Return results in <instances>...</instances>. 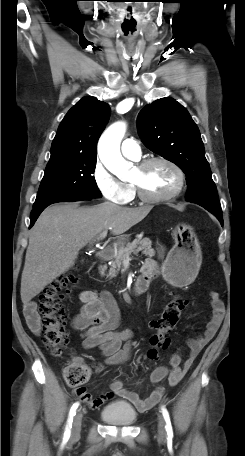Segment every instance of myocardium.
Masks as SVG:
<instances>
[{
	"mask_svg": "<svg viewBox=\"0 0 245 456\" xmlns=\"http://www.w3.org/2000/svg\"><path fill=\"white\" fill-rule=\"evenodd\" d=\"M155 163H164V164L170 166L175 171V173L177 174V178H178V183H177V186L175 187V189L172 192H170L169 194H166L163 196H152V195H149L144 190V188L142 187L141 184L132 181V186H133L135 192L137 193L138 197L144 202L161 203V202L170 201V200L176 198L177 196H179L184 189V186H185L184 171L180 168V166L178 164H176L174 161H172L166 157L147 158L137 164V169H139L140 171H144Z\"/></svg>",
	"mask_w": 245,
	"mask_h": 456,
	"instance_id": "myocardium-1",
	"label": "myocardium"
}]
</instances>
